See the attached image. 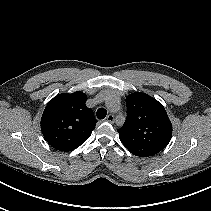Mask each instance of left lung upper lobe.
Wrapping results in <instances>:
<instances>
[{
    "label": "left lung upper lobe",
    "mask_w": 211,
    "mask_h": 211,
    "mask_svg": "<svg viewBox=\"0 0 211 211\" xmlns=\"http://www.w3.org/2000/svg\"><path fill=\"white\" fill-rule=\"evenodd\" d=\"M127 119L119 138L133 155L148 157L163 150L172 137V124L156 99L135 92L126 98Z\"/></svg>",
    "instance_id": "1"
}]
</instances>
